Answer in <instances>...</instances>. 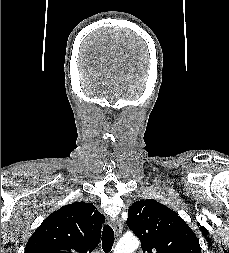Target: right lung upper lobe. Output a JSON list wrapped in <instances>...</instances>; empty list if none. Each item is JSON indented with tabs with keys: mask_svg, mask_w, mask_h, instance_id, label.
Segmentation results:
<instances>
[{
	"mask_svg": "<svg viewBox=\"0 0 229 253\" xmlns=\"http://www.w3.org/2000/svg\"><path fill=\"white\" fill-rule=\"evenodd\" d=\"M104 219L92 203L65 205L41 223L24 253H91L100 241Z\"/></svg>",
	"mask_w": 229,
	"mask_h": 253,
	"instance_id": "cb5924a9",
	"label": "right lung upper lobe"
}]
</instances>
